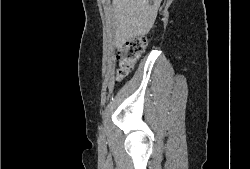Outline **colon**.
Returning a JSON list of instances; mask_svg holds the SVG:
<instances>
[{"instance_id": "5ec220e1", "label": "colon", "mask_w": 250, "mask_h": 169, "mask_svg": "<svg viewBox=\"0 0 250 169\" xmlns=\"http://www.w3.org/2000/svg\"><path fill=\"white\" fill-rule=\"evenodd\" d=\"M146 43H151V38H146V34H139L121 44L117 54V81H121L134 69L145 50Z\"/></svg>"}]
</instances>
